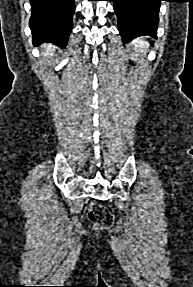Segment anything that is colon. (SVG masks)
Wrapping results in <instances>:
<instances>
[{
  "label": "colon",
  "instance_id": "colon-1",
  "mask_svg": "<svg viewBox=\"0 0 193 287\" xmlns=\"http://www.w3.org/2000/svg\"><path fill=\"white\" fill-rule=\"evenodd\" d=\"M88 218L97 228H108L113 223L111 211L99 204H91L89 206Z\"/></svg>",
  "mask_w": 193,
  "mask_h": 287
}]
</instances>
